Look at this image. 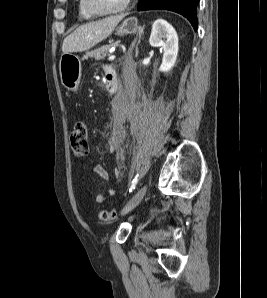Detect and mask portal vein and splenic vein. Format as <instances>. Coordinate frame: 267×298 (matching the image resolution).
Masks as SVG:
<instances>
[{
	"label": "portal vein and splenic vein",
	"instance_id": "obj_1",
	"mask_svg": "<svg viewBox=\"0 0 267 298\" xmlns=\"http://www.w3.org/2000/svg\"><path fill=\"white\" fill-rule=\"evenodd\" d=\"M108 59H109V60H113V59H115V55H110Z\"/></svg>",
	"mask_w": 267,
	"mask_h": 298
}]
</instances>
